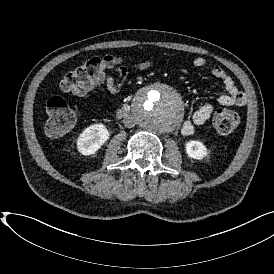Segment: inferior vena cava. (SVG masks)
I'll use <instances>...</instances> for the list:
<instances>
[{"instance_id":"1","label":"inferior vena cava","mask_w":274,"mask_h":274,"mask_svg":"<svg viewBox=\"0 0 274 274\" xmlns=\"http://www.w3.org/2000/svg\"><path fill=\"white\" fill-rule=\"evenodd\" d=\"M124 125L128 128L134 127L136 125V122L132 117H128L124 120Z\"/></svg>"}]
</instances>
